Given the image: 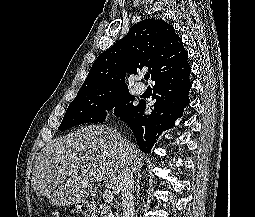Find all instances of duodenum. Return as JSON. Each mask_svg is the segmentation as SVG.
<instances>
[{
    "label": "duodenum",
    "instance_id": "duodenum-1",
    "mask_svg": "<svg viewBox=\"0 0 255 217\" xmlns=\"http://www.w3.org/2000/svg\"><path fill=\"white\" fill-rule=\"evenodd\" d=\"M80 210L87 215L88 217H94L95 216V207L90 204H82L80 206Z\"/></svg>",
    "mask_w": 255,
    "mask_h": 217
}]
</instances>
